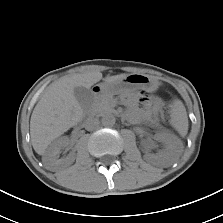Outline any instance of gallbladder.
I'll use <instances>...</instances> for the list:
<instances>
[{"mask_svg":"<svg viewBox=\"0 0 223 223\" xmlns=\"http://www.w3.org/2000/svg\"><path fill=\"white\" fill-rule=\"evenodd\" d=\"M74 95L79 105L83 109H87L93 100V93L90 89L79 86L74 88Z\"/></svg>","mask_w":223,"mask_h":223,"instance_id":"obj_1","label":"gallbladder"}]
</instances>
